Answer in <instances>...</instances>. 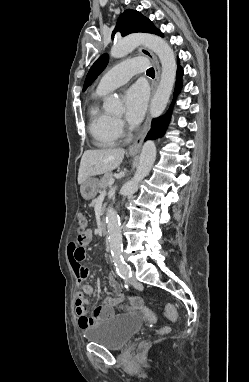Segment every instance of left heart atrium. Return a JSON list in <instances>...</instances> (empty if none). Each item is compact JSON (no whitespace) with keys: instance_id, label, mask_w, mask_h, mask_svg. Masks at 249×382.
Listing matches in <instances>:
<instances>
[{"instance_id":"1","label":"left heart atrium","mask_w":249,"mask_h":382,"mask_svg":"<svg viewBox=\"0 0 249 382\" xmlns=\"http://www.w3.org/2000/svg\"><path fill=\"white\" fill-rule=\"evenodd\" d=\"M148 102V93L146 89L135 84L125 93V117L127 121L133 124L139 123L146 111Z\"/></svg>"}]
</instances>
